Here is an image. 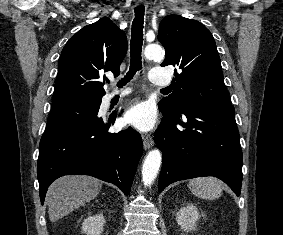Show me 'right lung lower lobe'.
Returning a JSON list of instances; mask_svg holds the SVG:
<instances>
[{
	"label": "right lung lower lobe",
	"mask_w": 283,
	"mask_h": 235,
	"mask_svg": "<svg viewBox=\"0 0 283 235\" xmlns=\"http://www.w3.org/2000/svg\"><path fill=\"white\" fill-rule=\"evenodd\" d=\"M99 107L89 118L43 134L37 164L42 204L49 185L64 175L94 176L115 184L125 195L130 193L142 155V138L131 127L109 133L116 113L102 119Z\"/></svg>",
	"instance_id": "obj_1"
}]
</instances>
